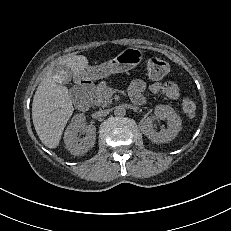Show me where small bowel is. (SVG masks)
Instances as JSON below:
<instances>
[{
  "instance_id": "obj_1",
  "label": "small bowel",
  "mask_w": 231,
  "mask_h": 231,
  "mask_svg": "<svg viewBox=\"0 0 231 231\" xmlns=\"http://www.w3.org/2000/svg\"><path fill=\"white\" fill-rule=\"evenodd\" d=\"M147 88H149V90L154 94H163L172 100L178 99L180 95L179 87L174 82H153L148 86L145 80L141 78H134L129 87L132 100L136 103H142L144 101L142 92H144Z\"/></svg>"
}]
</instances>
